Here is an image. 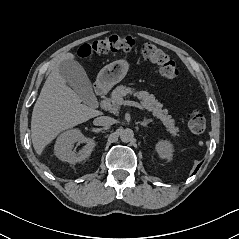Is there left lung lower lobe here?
Returning <instances> with one entry per match:
<instances>
[{
    "label": "left lung lower lobe",
    "mask_w": 239,
    "mask_h": 239,
    "mask_svg": "<svg viewBox=\"0 0 239 239\" xmlns=\"http://www.w3.org/2000/svg\"><path fill=\"white\" fill-rule=\"evenodd\" d=\"M199 167H200V165H198V166H197V168H196V170H195V172H194V173H196V172H197V170L199 169Z\"/></svg>",
    "instance_id": "obj_1"
}]
</instances>
